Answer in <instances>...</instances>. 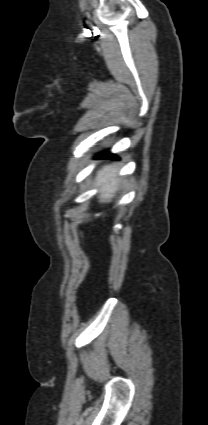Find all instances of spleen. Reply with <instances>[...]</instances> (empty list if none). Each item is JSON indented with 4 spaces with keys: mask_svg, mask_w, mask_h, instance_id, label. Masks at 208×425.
Listing matches in <instances>:
<instances>
[{
    "mask_svg": "<svg viewBox=\"0 0 208 425\" xmlns=\"http://www.w3.org/2000/svg\"><path fill=\"white\" fill-rule=\"evenodd\" d=\"M117 169L111 165L103 167L97 174L96 185L102 186L100 202H109L118 190L119 179H115Z\"/></svg>",
    "mask_w": 208,
    "mask_h": 425,
    "instance_id": "1",
    "label": "spleen"
}]
</instances>
